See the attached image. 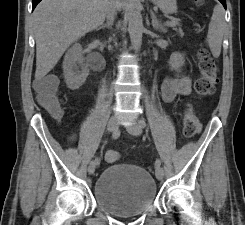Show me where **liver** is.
<instances>
[{
  "label": "liver",
  "mask_w": 245,
  "mask_h": 225,
  "mask_svg": "<svg viewBox=\"0 0 245 225\" xmlns=\"http://www.w3.org/2000/svg\"><path fill=\"white\" fill-rule=\"evenodd\" d=\"M111 0H42L33 12L36 41L35 79L57 64L66 49L102 25ZM118 9L124 2L115 0Z\"/></svg>",
  "instance_id": "6515ba94"
}]
</instances>
